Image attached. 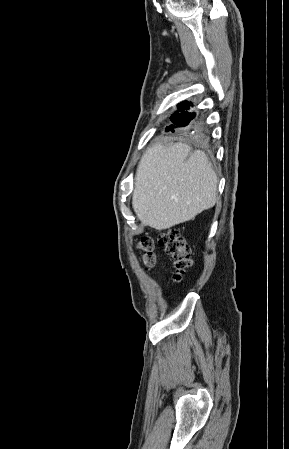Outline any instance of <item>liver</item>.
<instances>
[{
  "instance_id": "obj_1",
  "label": "liver",
  "mask_w": 289,
  "mask_h": 449,
  "mask_svg": "<svg viewBox=\"0 0 289 449\" xmlns=\"http://www.w3.org/2000/svg\"><path fill=\"white\" fill-rule=\"evenodd\" d=\"M190 150L184 143H156L143 154L132 197L134 212L143 224L169 229L215 205L217 176L204 152L190 154Z\"/></svg>"
}]
</instances>
